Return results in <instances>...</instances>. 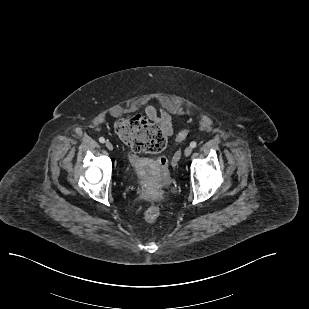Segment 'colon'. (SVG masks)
Segmentation results:
<instances>
[{"instance_id": "1", "label": "colon", "mask_w": 309, "mask_h": 309, "mask_svg": "<svg viewBox=\"0 0 309 309\" xmlns=\"http://www.w3.org/2000/svg\"><path fill=\"white\" fill-rule=\"evenodd\" d=\"M114 130L126 145L137 152L160 153L167 145L165 133L139 114L118 120ZM186 137L187 131H182L178 134L177 140L182 141ZM159 166L161 171L166 173L168 159L161 157ZM159 214L160 210L157 206H150L146 209L144 218L148 223H152L159 217Z\"/></svg>"}]
</instances>
